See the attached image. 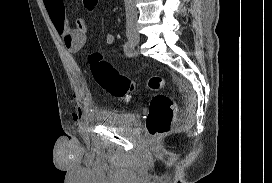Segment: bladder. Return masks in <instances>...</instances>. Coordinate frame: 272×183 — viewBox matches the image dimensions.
Returning a JSON list of instances; mask_svg holds the SVG:
<instances>
[{"label":"bladder","mask_w":272,"mask_h":183,"mask_svg":"<svg viewBox=\"0 0 272 183\" xmlns=\"http://www.w3.org/2000/svg\"><path fill=\"white\" fill-rule=\"evenodd\" d=\"M103 124L117 129L132 130L139 121V116L134 112L107 113L104 115Z\"/></svg>","instance_id":"1"}]
</instances>
